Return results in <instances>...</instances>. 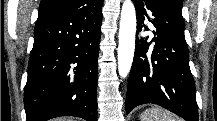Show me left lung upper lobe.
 <instances>
[{
	"instance_id": "1",
	"label": "left lung upper lobe",
	"mask_w": 217,
	"mask_h": 121,
	"mask_svg": "<svg viewBox=\"0 0 217 121\" xmlns=\"http://www.w3.org/2000/svg\"><path fill=\"white\" fill-rule=\"evenodd\" d=\"M166 1L182 14V0H166Z\"/></svg>"
}]
</instances>
